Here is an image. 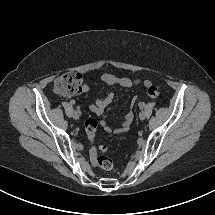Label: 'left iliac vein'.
<instances>
[{"instance_id":"left-iliac-vein-1","label":"left iliac vein","mask_w":215,"mask_h":215,"mask_svg":"<svg viewBox=\"0 0 215 215\" xmlns=\"http://www.w3.org/2000/svg\"><path fill=\"white\" fill-rule=\"evenodd\" d=\"M145 117H146V115H145L144 112H141V113L139 114V118H140L141 120H144Z\"/></svg>"}]
</instances>
